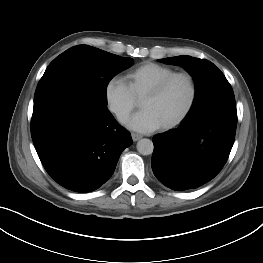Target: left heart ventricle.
Here are the masks:
<instances>
[{
	"label": "left heart ventricle",
	"mask_w": 263,
	"mask_h": 263,
	"mask_svg": "<svg viewBox=\"0 0 263 263\" xmlns=\"http://www.w3.org/2000/svg\"><path fill=\"white\" fill-rule=\"evenodd\" d=\"M190 96V86L185 78H176L153 98L141 100V108L152 111L161 125L174 119L186 106Z\"/></svg>",
	"instance_id": "1"
}]
</instances>
